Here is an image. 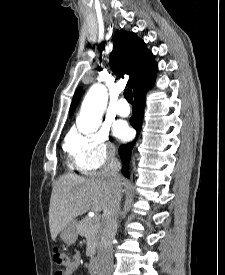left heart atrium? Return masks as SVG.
Listing matches in <instances>:
<instances>
[{"label": "left heart atrium", "mask_w": 225, "mask_h": 275, "mask_svg": "<svg viewBox=\"0 0 225 275\" xmlns=\"http://www.w3.org/2000/svg\"><path fill=\"white\" fill-rule=\"evenodd\" d=\"M114 134L120 139H125L129 136V128L125 123H117L114 126Z\"/></svg>", "instance_id": "39dd6f15"}]
</instances>
